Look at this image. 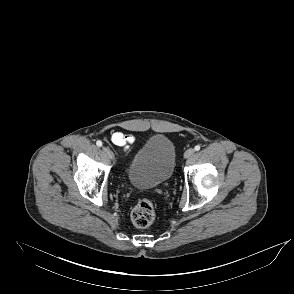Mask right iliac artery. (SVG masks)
Masks as SVG:
<instances>
[{
    "instance_id": "right-iliac-artery-1",
    "label": "right iliac artery",
    "mask_w": 294,
    "mask_h": 294,
    "mask_svg": "<svg viewBox=\"0 0 294 294\" xmlns=\"http://www.w3.org/2000/svg\"><path fill=\"white\" fill-rule=\"evenodd\" d=\"M96 145H97L98 147H101V146H102V142H101L100 140H98V141L96 142Z\"/></svg>"
}]
</instances>
